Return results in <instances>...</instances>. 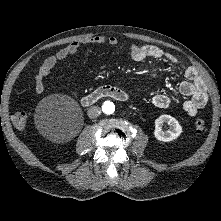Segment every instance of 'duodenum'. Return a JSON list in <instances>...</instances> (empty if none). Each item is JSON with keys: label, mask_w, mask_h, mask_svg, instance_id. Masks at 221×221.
<instances>
[{"label": "duodenum", "mask_w": 221, "mask_h": 221, "mask_svg": "<svg viewBox=\"0 0 221 221\" xmlns=\"http://www.w3.org/2000/svg\"><path fill=\"white\" fill-rule=\"evenodd\" d=\"M105 97H109L120 102H126L128 100V95L123 89L116 86L105 85L85 95L81 99V102L84 106H90Z\"/></svg>", "instance_id": "1"}]
</instances>
